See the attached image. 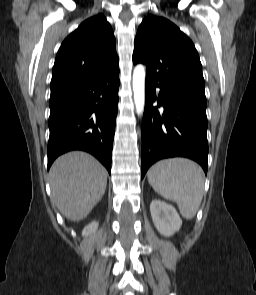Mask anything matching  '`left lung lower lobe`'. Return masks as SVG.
Returning a JSON list of instances; mask_svg holds the SVG:
<instances>
[{"instance_id": "0a47b994", "label": "left lung lower lobe", "mask_w": 256, "mask_h": 295, "mask_svg": "<svg viewBox=\"0 0 256 295\" xmlns=\"http://www.w3.org/2000/svg\"><path fill=\"white\" fill-rule=\"evenodd\" d=\"M156 87L159 86L146 77L141 177H144L153 163L170 157H187L195 160L207 174L206 103L192 101L161 88L157 98ZM156 100L158 107H164L163 114L153 106Z\"/></svg>"}]
</instances>
